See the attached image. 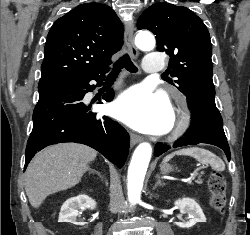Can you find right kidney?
<instances>
[{"instance_id": "right-kidney-1", "label": "right kidney", "mask_w": 250, "mask_h": 235, "mask_svg": "<svg viewBox=\"0 0 250 235\" xmlns=\"http://www.w3.org/2000/svg\"><path fill=\"white\" fill-rule=\"evenodd\" d=\"M81 208L93 210L96 208V202L84 194L68 199L61 207L58 222H69L81 225V223L76 222V217Z\"/></svg>"}]
</instances>
